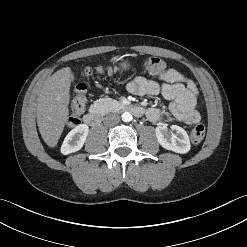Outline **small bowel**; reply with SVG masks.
<instances>
[{
  "label": "small bowel",
  "mask_w": 247,
  "mask_h": 247,
  "mask_svg": "<svg viewBox=\"0 0 247 247\" xmlns=\"http://www.w3.org/2000/svg\"><path fill=\"white\" fill-rule=\"evenodd\" d=\"M127 90L139 96L161 95L169 101L167 115L186 125L192 126L200 121L196 85L177 70H168L160 74L157 80L136 77L128 83ZM146 116L151 122H157L164 114L158 108H149Z\"/></svg>",
  "instance_id": "small-bowel-1"
}]
</instances>
